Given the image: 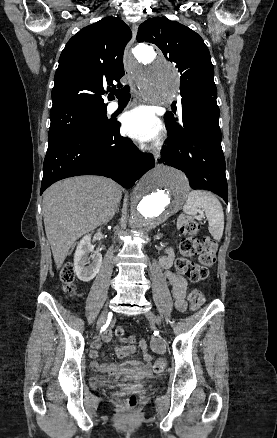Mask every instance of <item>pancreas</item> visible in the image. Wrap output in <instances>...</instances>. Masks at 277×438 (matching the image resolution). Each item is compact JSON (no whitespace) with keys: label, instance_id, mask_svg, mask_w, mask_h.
Segmentation results:
<instances>
[{"label":"pancreas","instance_id":"pancreas-1","mask_svg":"<svg viewBox=\"0 0 277 438\" xmlns=\"http://www.w3.org/2000/svg\"><path fill=\"white\" fill-rule=\"evenodd\" d=\"M192 221V216L190 214H183L181 220H177V225H182V223H190Z\"/></svg>","mask_w":277,"mask_h":438}]
</instances>
